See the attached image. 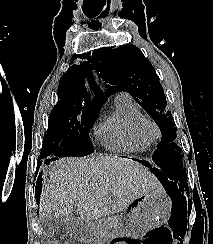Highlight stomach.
Listing matches in <instances>:
<instances>
[{
  "label": "stomach",
  "mask_w": 213,
  "mask_h": 244,
  "mask_svg": "<svg viewBox=\"0 0 213 244\" xmlns=\"http://www.w3.org/2000/svg\"><path fill=\"white\" fill-rule=\"evenodd\" d=\"M164 193L160 190L150 191L135 199L128 207L127 215L121 225L114 229L110 221L103 226V221H68L67 230L78 239L88 244H97V239H116L123 233H145L163 223L168 216L164 210Z\"/></svg>",
  "instance_id": "1"
}]
</instances>
